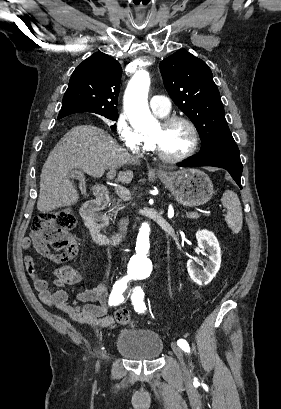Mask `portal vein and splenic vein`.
<instances>
[{
  "label": "portal vein and splenic vein",
  "instance_id": "18ae733b",
  "mask_svg": "<svg viewBox=\"0 0 281 409\" xmlns=\"http://www.w3.org/2000/svg\"><path fill=\"white\" fill-rule=\"evenodd\" d=\"M114 176H115V170H109V172H107V178H109V180H111V178H114ZM115 190L118 196H124L122 199L124 203L127 204L130 202L131 199L128 196L129 190L126 189L125 185L115 186ZM198 213H201V210H198ZM198 213L197 212H185L184 216L189 217V219L191 220H195L197 219ZM221 213H224V210H221Z\"/></svg>",
  "mask_w": 281,
  "mask_h": 409
}]
</instances>
